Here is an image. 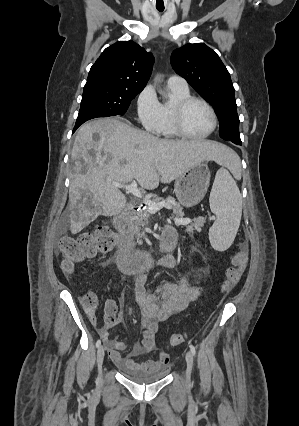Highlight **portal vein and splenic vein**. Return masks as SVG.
Masks as SVG:
<instances>
[{
	"mask_svg": "<svg viewBox=\"0 0 299 426\" xmlns=\"http://www.w3.org/2000/svg\"><path fill=\"white\" fill-rule=\"evenodd\" d=\"M111 184L115 187L125 189L127 192H130L134 196L142 199L148 211L151 213H156L162 208H170V205L166 202L154 203L150 199H145L142 191L138 188L137 182L135 181H133L131 184H122L118 182H112ZM174 222L175 224L179 225H187L191 222V220L189 218H175Z\"/></svg>",
	"mask_w": 299,
	"mask_h": 426,
	"instance_id": "portal-vein-and-splenic-vein-1",
	"label": "portal vein and splenic vein"
}]
</instances>
